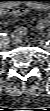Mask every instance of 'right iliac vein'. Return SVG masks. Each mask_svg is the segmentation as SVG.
<instances>
[{
    "label": "right iliac vein",
    "mask_w": 50,
    "mask_h": 111,
    "mask_svg": "<svg viewBox=\"0 0 50 111\" xmlns=\"http://www.w3.org/2000/svg\"><path fill=\"white\" fill-rule=\"evenodd\" d=\"M0 43H1L2 46H4V44H5V38L1 37L0 38Z\"/></svg>",
    "instance_id": "right-iliac-vein-1"
}]
</instances>
